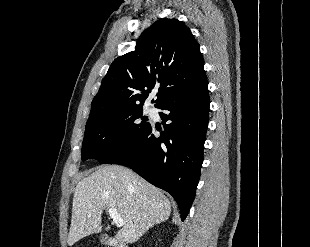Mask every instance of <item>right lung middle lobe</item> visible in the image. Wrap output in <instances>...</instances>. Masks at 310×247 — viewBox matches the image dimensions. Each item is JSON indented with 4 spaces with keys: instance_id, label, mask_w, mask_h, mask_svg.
I'll use <instances>...</instances> for the list:
<instances>
[{
    "instance_id": "dd1d6c3e",
    "label": "right lung middle lobe",
    "mask_w": 310,
    "mask_h": 247,
    "mask_svg": "<svg viewBox=\"0 0 310 247\" xmlns=\"http://www.w3.org/2000/svg\"><path fill=\"white\" fill-rule=\"evenodd\" d=\"M142 116V108L100 116L86 123L82 144V160L95 158L102 164L131 148L150 123Z\"/></svg>"
}]
</instances>
